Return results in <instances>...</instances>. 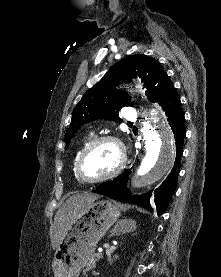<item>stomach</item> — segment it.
Segmentation results:
<instances>
[{"instance_id":"obj_1","label":"stomach","mask_w":221,"mask_h":277,"mask_svg":"<svg viewBox=\"0 0 221 277\" xmlns=\"http://www.w3.org/2000/svg\"><path fill=\"white\" fill-rule=\"evenodd\" d=\"M119 215L118 207L108 200L93 202L82 210L56 249L52 263L55 277H78Z\"/></svg>"}]
</instances>
